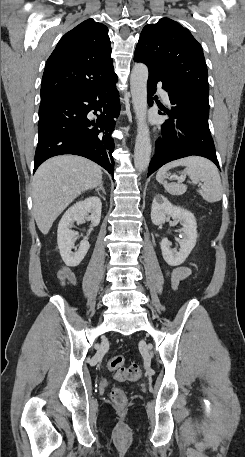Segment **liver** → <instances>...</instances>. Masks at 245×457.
<instances>
[{
    "label": "liver",
    "instance_id": "obj_1",
    "mask_svg": "<svg viewBox=\"0 0 245 457\" xmlns=\"http://www.w3.org/2000/svg\"><path fill=\"white\" fill-rule=\"evenodd\" d=\"M101 182V166L83 156L63 154L45 160L32 184L33 214L39 231L47 235L54 220L76 196Z\"/></svg>",
    "mask_w": 245,
    "mask_h": 457
}]
</instances>
